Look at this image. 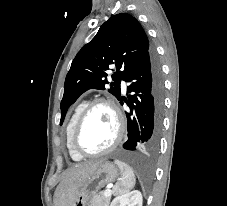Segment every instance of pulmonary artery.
Here are the masks:
<instances>
[{
    "label": "pulmonary artery",
    "instance_id": "e3ab8cb5",
    "mask_svg": "<svg viewBox=\"0 0 227 206\" xmlns=\"http://www.w3.org/2000/svg\"><path fill=\"white\" fill-rule=\"evenodd\" d=\"M122 89L125 90L126 89V83L124 81H122L121 83Z\"/></svg>",
    "mask_w": 227,
    "mask_h": 206
}]
</instances>
